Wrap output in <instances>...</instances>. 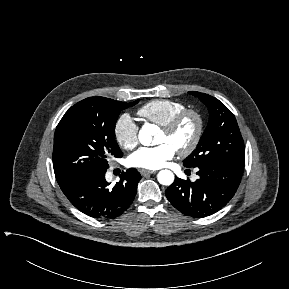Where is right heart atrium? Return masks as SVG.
<instances>
[{
	"instance_id": "right-heart-atrium-1",
	"label": "right heart atrium",
	"mask_w": 289,
	"mask_h": 289,
	"mask_svg": "<svg viewBox=\"0 0 289 289\" xmlns=\"http://www.w3.org/2000/svg\"><path fill=\"white\" fill-rule=\"evenodd\" d=\"M114 136L124 149H133L138 144V126L129 114L118 117L114 125Z\"/></svg>"
}]
</instances>
